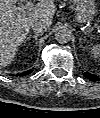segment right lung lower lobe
Returning <instances> with one entry per match:
<instances>
[{"label":"right lung lower lobe","mask_w":100,"mask_h":118,"mask_svg":"<svg viewBox=\"0 0 100 118\" xmlns=\"http://www.w3.org/2000/svg\"><path fill=\"white\" fill-rule=\"evenodd\" d=\"M32 72V70H29V71H27V72H25V73H21V74H19L20 76H24V75H28V74H30ZM18 75V74H17Z\"/></svg>","instance_id":"right-lung-lower-lobe-1"}]
</instances>
